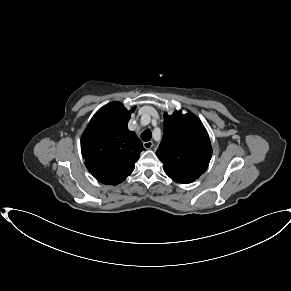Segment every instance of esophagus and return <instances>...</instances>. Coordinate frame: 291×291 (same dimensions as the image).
<instances>
[{
    "label": "esophagus",
    "instance_id": "34e87169",
    "mask_svg": "<svg viewBox=\"0 0 291 291\" xmlns=\"http://www.w3.org/2000/svg\"><path fill=\"white\" fill-rule=\"evenodd\" d=\"M143 146L145 149H151L153 147V142L152 141L144 142Z\"/></svg>",
    "mask_w": 291,
    "mask_h": 291
}]
</instances>
